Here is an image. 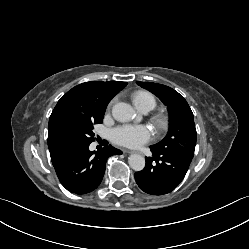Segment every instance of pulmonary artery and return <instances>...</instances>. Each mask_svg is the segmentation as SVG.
I'll use <instances>...</instances> for the list:
<instances>
[{
	"instance_id": "obj_1",
	"label": "pulmonary artery",
	"mask_w": 249,
	"mask_h": 249,
	"mask_svg": "<svg viewBox=\"0 0 249 249\" xmlns=\"http://www.w3.org/2000/svg\"><path fill=\"white\" fill-rule=\"evenodd\" d=\"M149 110H144L143 112H148Z\"/></svg>"
}]
</instances>
